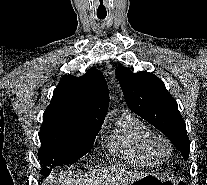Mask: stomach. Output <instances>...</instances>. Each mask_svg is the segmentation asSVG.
<instances>
[{
  "label": "stomach",
  "instance_id": "0dacf381",
  "mask_svg": "<svg viewBox=\"0 0 207 185\" xmlns=\"http://www.w3.org/2000/svg\"><path fill=\"white\" fill-rule=\"evenodd\" d=\"M181 180L164 179L155 175H144L140 179L135 180L131 185H184Z\"/></svg>",
  "mask_w": 207,
  "mask_h": 185
}]
</instances>
